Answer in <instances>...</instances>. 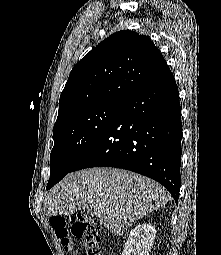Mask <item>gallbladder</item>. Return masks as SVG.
<instances>
[{
	"label": "gallbladder",
	"mask_w": 221,
	"mask_h": 255,
	"mask_svg": "<svg viewBox=\"0 0 221 255\" xmlns=\"http://www.w3.org/2000/svg\"><path fill=\"white\" fill-rule=\"evenodd\" d=\"M82 214H83L85 217H88V218L94 216V213H93L92 211H90V210H84V211H82Z\"/></svg>",
	"instance_id": "gallbladder-1"
}]
</instances>
